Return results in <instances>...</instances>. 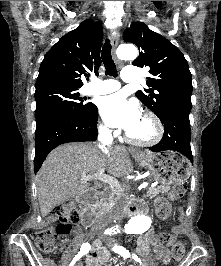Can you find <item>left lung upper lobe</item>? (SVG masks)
I'll return each mask as SVG.
<instances>
[{"label":"left lung upper lobe","instance_id":"left-lung-upper-lobe-1","mask_svg":"<svg viewBox=\"0 0 221 266\" xmlns=\"http://www.w3.org/2000/svg\"><path fill=\"white\" fill-rule=\"evenodd\" d=\"M123 39L139 49L133 65L149 67L152 75L147 77L149 89L137 91L136 97L161 121L172 111L190 112L192 77L182 52L142 22H135L127 28Z\"/></svg>","mask_w":221,"mask_h":266}]
</instances>
